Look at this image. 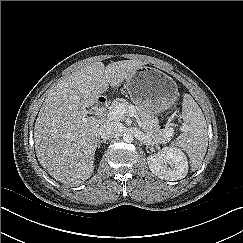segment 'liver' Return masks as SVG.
<instances>
[{
	"mask_svg": "<svg viewBox=\"0 0 243 243\" xmlns=\"http://www.w3.org/2000/svg\"><path fill=\"white\" fill-rule=\"evenodd\" d=\"M144 64L123 60L105 67L94 62L62 78L48 91L36 119L34 143L38 161L50 176L75 186L91 177L102 122L87 116L86 108L109 86H121Z\"/></svg>",
	"mask_w": 243,
	"mask_h": 243,
	"instance_id": "liver-1",
	"label": "liver"
}]
</instances>
